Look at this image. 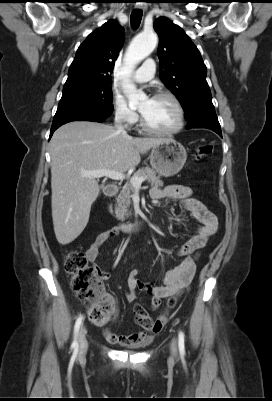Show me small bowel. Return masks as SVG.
<instances>
[{
	"mask_svg": "<svg viewBox=\"0 0 272 401\" xmlns=\"http://www.w3.org/2000/svg\"><path fill=\"white\" fill-rule=\"evenodd\" d=\"M192 193L193 192L190 187L183 185H169L162 189L154 188L151 190V196L156 199H179L182 210L189 212L190 215L199 223V225L197 227L196 234L179 249V255L183 257L182 262L178 266L165 272L163 276V283L161 285H146L137 278L139 274L138 269H133L130 271L127 277L128 291L125 294L127 302H135L137 299L136 292L138 290L145 289L151 295L152 308L156 309L160 306L162 299L181 294L191 283L196 270L198 253L206 245L209 238L215 234L218 228V220L215 214L210 211L204 203L194 198ZM119 232V228L117 227H112L100 232L86 250L87 260L94 264L96 271L103 279H107L109 277V273L95 263L96 259L101 248L110 240L115 238ZM107 298L114 306L113 317L115 318L119 311L118 302L116 298L110 294H107ZM135 320L139 325H141L143 329L142 331L127 335H119L116 333L107 332V340L112 344H118L122 346H138L147 343L150 340L151 335L158 334L163 326V324H161L160 326L155 325L146 327L140 324L136 317Z\"/></svg>",
	"mask_w": 272,
	"mask_h": 401,
	"instance_id": "c3829d8e",
	"label": "small bowel"
}]
</instances>
